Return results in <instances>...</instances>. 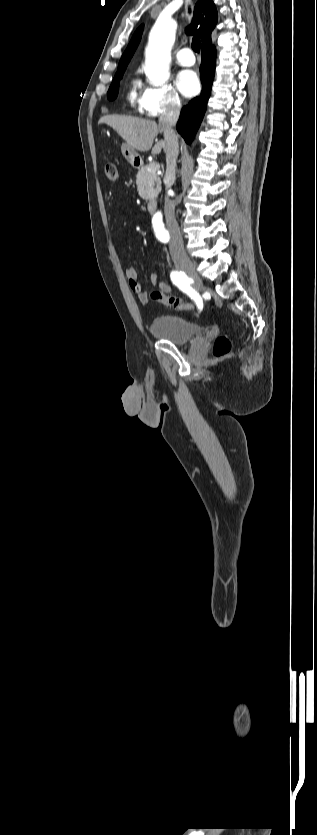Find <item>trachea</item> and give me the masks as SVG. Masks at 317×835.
<instances>
[{"instance_id": "3493384b", "label": "trachea", "mask_w": 317, "mask_h": 835, "mask_svg": "<svg viewBox=\"0 0 317 835\" xmlns=\"http://www.w3.org/2000/svg\"><path fill=\"white\" fill-rule=\"evenodd\" d=\"M200 45H201V42H200L199 37L194 36L193 39H192V49L195 52L199 53L200 52Z\"/></svg>"}]
</instances>
